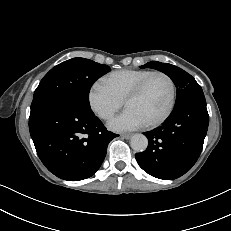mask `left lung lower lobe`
<instances>
[{"mask_svg":"<svg viewBox=\"0 0 231 231\" xmlns=\"http://www.w3.org/2000/svg\"><path fill=\"white\" fill-rule=\"evenodd\" d=\"M209 124L202 89L188 91L176 102L171 116L157 129L144 133L148 147L136 153L139 166L153 177L179 178L196 163Z\"/></svg>","mask_w":231,"mask_h":231,"instance_id":"obj_1","label":"left lung lower lobe"}]
</instances>
